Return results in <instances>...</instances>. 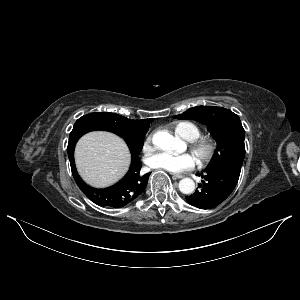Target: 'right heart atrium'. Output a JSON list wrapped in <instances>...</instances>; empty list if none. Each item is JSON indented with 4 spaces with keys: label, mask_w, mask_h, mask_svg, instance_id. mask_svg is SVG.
<instances>
[{
    "label": "right heart atrium",
    "mask_w": 300,
    "mask_h": 300,
    "mask_svg": "<svg viewBox=\"0 0 300 300\" xmlns=\"http://www.w3.org/2000/svg\"><path fill=\"white\" fill-rule=\"evenodd\" d=\"M152 144V135L148 136L144 142L143 148L145 151L149 150Z\"/></svg>",
    "instance_id": "d8ad5b80"
}]
</instances>
